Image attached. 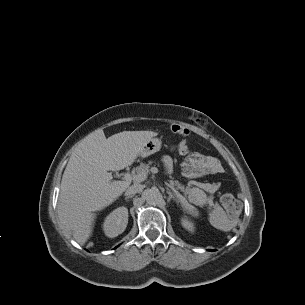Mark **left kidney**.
I'll return each mask as SVG.
<instances>
[{"instance_id":"1","label":"left kidney","mask_w":305,"mask_h":305,"mask_svg":"<svg viewBox=\"0 0 305 305\" xmlns=\"http://www.w3.org/2000/svg\"><path fill=\"white\" fill-rule=\"evenodd\" d=\"M181 224L186 230H188L190 232H194V225L188 219L182 218Z\"/></svg>"}]
</instances>
